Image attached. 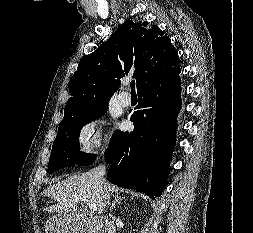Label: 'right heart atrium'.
<instances>
[{"instance_id":"1","label":"right heart atrium","mask_w":253,"mask_h":233,"mask_svg":"<svg viewBox=\"0 0 253 233\" xmlns=\"http://www.w3.org/2000/svg\"><path fill=\"white\" fill-rule=\"evenodd\" d=\"M77 145L82 153L103 150L104 137L98 121H88L82 125L77 136Z\"/></svg>"}]
</instances>
